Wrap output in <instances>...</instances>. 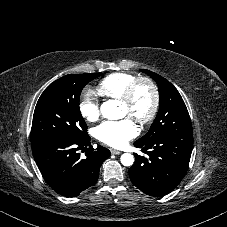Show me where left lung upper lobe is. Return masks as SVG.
Listing matches in <instances>:
<instances>
[{
  "mask_svg": "<svg viewBox=\"0 0 227 227\" xmlns=\"http://www.w3.org/2000/svg\"><path fill=\"white\" fill-rule=\"evenodd\" d=\"M141 71L156 81L160 106L149 131L137 142H152L164 137L193 134L188 110L177 89L162 76L145 69Z\"/></svg>",
  "mask_w": 227,
  "mask_h": 227,
  "instance_id": "obj_1",
  "label": "left lung upper lobe"
}]
</instances>
